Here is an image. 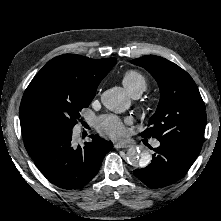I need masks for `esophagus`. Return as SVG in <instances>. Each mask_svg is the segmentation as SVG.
<instances>
[{
    "instance_id": "obj_1",
    "label": "esophagus",
    "mask_w": 221,
    "mask_h": 221,
    "mask_svg": "<svg viewBox=\"0 0 221 221\" xmlns=\"http://www.w3.org/2000/svg\"><path fill=\"white\" fill-rule=\"evenodd\" d=\"M114 147L116 149H125V148H129L130 145L129 144H116Z\"/></svg>"
}]
</instances>
